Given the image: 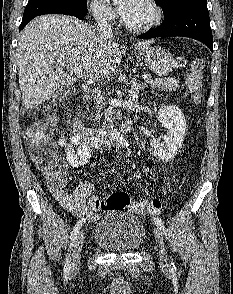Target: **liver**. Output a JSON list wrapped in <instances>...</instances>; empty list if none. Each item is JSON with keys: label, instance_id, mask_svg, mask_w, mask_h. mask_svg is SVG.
I'll use <instances>...</instances> for the list:
<instances>
[{"label": "liver", "instance_id": "6515ba94", "mask_svg": "<svg viewBox=\"0 0 233 294\" xmlns=\"http://www.w3.org/2000/svg\"><path fill=\"white\" fill-rule=\"evenodd\" d=\"M152 43V40L138 42L135 49L143 50ZM121 59L117 43L102 40L82 21L61 15L40 16L24 28L18 44L23 106L32 110L59 88L69 87L79 78L92 83L97 76H107L120 65ZM60 63L83 68V74H68Z\"/></svg>", "mask_w": 233, "mask_h": 294}]
</instances>
